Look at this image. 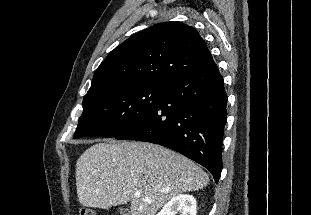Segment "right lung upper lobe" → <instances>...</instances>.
I'll return each instance as SVG.
<instances>
[{
	"label": "right lung upper lobe",
	"instance_id": "right-lung-upper-lobe-1",
	"mask_svg": "<svg viewBox=\"0 0 311 215\" xmlns=\"http://www.w3.org/2000/svg\"><path fill=\"white\" fill-rule=\"evenodd\" d=\"M214 63L197 30L163 22L133 34L112 50L94 74L85 95L100 90L167 81Z\"/></svg>",
	"mask_w": 311,
	"mask_h": 215
}]
</instances>
